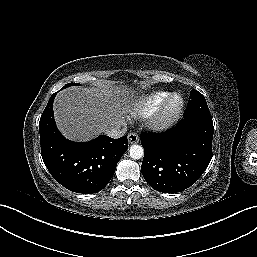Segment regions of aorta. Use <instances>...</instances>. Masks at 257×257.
Segmentation results:
<instances>
[{"label": "aorta", "mask_w": 257, "mask_h": 257, "mask_svg": "<svg viewBox=\"0 0 257 257\" xmlns=\"http://www.w3.org/2000/svg\"><path fill=\"white\" fill-rule=\"evenodd\" d=\"M129 152H130V157L133 159H140L144 155L143 147L140 145H136V144H134L130 147Z\"/></svg>", "instance_id": "762f6f07"}]
</instances>
